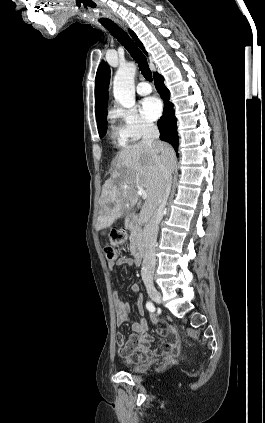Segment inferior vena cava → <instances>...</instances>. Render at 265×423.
<instances>
[{
	"mask_svg": "<svg viewBox=\"0 0 265 423\" xmlns=\"http://www.w3.org/2000/svg\"><path fill=\"white\" fill-rule=\"evenodd\" d=\"M159 130L154 123L146 122L143 125V136L140 143L145 146L153 147L156 151V158L159 159L158 153L164 152V145L159 139ZM163 184L161 186L160 196L157 208L151 219L145 224L143 229V241L145 247V255L142 263L141 276L143 280H151L155 272L156 265V241L158 234V224L163 217V210L170 194L172 184V169L170 161L163 158L160 164Z\"/></svg>",
	"mask_w": 265,
	"mask_h": 423,
	"instance_id": "1",
	"label": "inferior vena cava"
}]
</instances>
